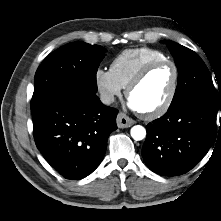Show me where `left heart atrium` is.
<instances>
[{
    "label": "left heart atrium",
    "instance_id": "left-heart-atrium-1",
    "mask_svg": "<svg viewBox=\"0 0 221 221\" xmlns=\"http://www.w3.org/2000/svg\"><path fill=\"white\" fill-rule=\"evenodd\" d=\"M129 106H130L132 109L139 111L138 108L136 107V105H135L131 100H130V102H129Z\"/></svg>",
    "mask_w": 221,
    "mask_h": 221
}]
</instances>
